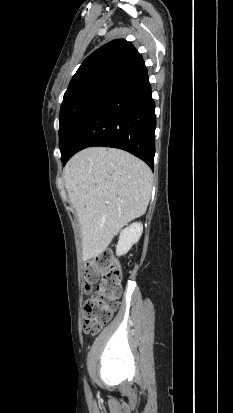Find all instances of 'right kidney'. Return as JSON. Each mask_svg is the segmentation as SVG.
Wrapping results in <instances>:
<instances>
[{
    "label": "right kidney",
    "instance_id": "1",
    "mask_svg": "<svg viewBox=\"0 0 233 413\" xmlns=\"http://www.w3.org/2000/svg\"><path fill=\"white\" fill-rule=\"evenodd\" d=\"M143 225L140 222L132 223L120 232L119 241L116 246L117 256L126 254L131 247L137 243L142 235Z\"/></svg>",
    "mask_w": 233,
    "mask_h": 413
}]
</instances>
